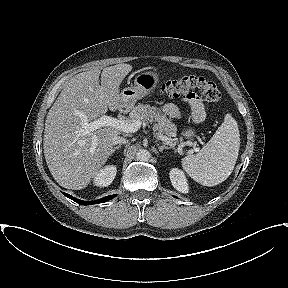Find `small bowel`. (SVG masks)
Returning a JSON list of instances; mask_svg holds the SVG:
<instances>
[{"label": "small bowel", "mask_w": 288, "mask_h": 288, "mask_svg": "<svg viewBox=\"0 0 288 288\" xmlns=\"http://www.w3.org/2000/svg\"><path fill=\"white\" fill-rule=\"evenodd\" d=\"M185 100L189 103L193 118L195 121L199 122L204 118V109L201 100L195 94L190 93L185 96ZM162 111L167 115L177 118L180 116L178 107L175 104L168 103L162 106Z\"/></svg>", "instance_id": "1"}]
</instances>
